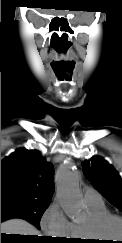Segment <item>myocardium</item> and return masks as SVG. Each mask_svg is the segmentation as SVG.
Listing matches in <instances>:
<instances>
[{
	"label": "myocardium",
	"mask_w": 122,
	"mask_h": 243,
	"mask_svg": "<svg viewBox=\"0 0 122 243\" xmlns=\"http://www.w3.org/2000/svg\"><path fill=\"white\" fill-rule=\"evenodd\" d=\"M113 220H116V221H119L122 223L121 216L116 215V214H111V213L90 218V220L85 225L88 235L93 239L100 240L101 238H104V236L102 235V232H103L105 226Z\"/></svg>",
	"instance_id": "1"
}]
</instances>
